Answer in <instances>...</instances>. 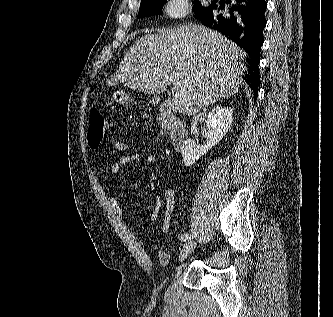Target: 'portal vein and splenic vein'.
<instances>
[{
	"mask_svg": "<svg viewBox=\"0 0 333 317\" xmlns=\"http://www.w3.org/2000/svg\"><path fill=\"white\" fill-rule=\"evenodd\" d=\"M172 102L175 105H180L182 103V96L180 93H175L172 97Z\"/></svg>",
	"mask_w": 333,
	"mask_h": 317,
	"instance_id": "1",
	"label": "portal vein and splenic vein"
}]
</instances>
